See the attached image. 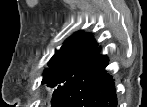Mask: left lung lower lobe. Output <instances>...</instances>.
<instances>
[{
  "label": "left lung lower lobe",
  "mask_w": 147,
  "mask_h": 107,
  "mask_svg": "<svg viewBox=\"0 0 147 107\" xmlns=\"http://www.w3.org/2000/svg\"><path fill=\"white\" fill-rule=\"evenodd\" d=\"M100 47L67 83L52 107H117L114 80L107 73L109 58Z\"/></svg>",
  "instance_id": "left-lung-lower-lobe-1"
}]
</instances>
